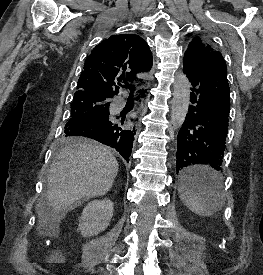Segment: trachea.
Returning a JSON list of instances; mask_svg holds the SVG:
<instances>
[{
  "label": "trachea",
  "instance_id": "trachea-1",
  "mask_svg": "<svg viewBox=\"0 0 263 275\" xmlns=\"http://www.w3.org/2000/svg\"><path fill=\"white\" fill-rule=\"evenodd\" d=\"M126 87H128L130 89V97L133 96V92H134V88L128 84L125 85Z\"/></svg>",
  "mask_w": 263,
  "mask_h": 275
}]
</instances>
